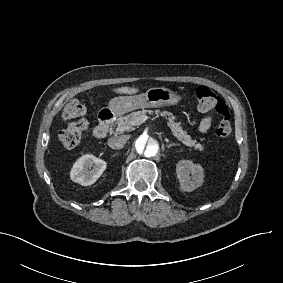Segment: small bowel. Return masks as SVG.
Here are the masks:
<instances>
[{"instance_id": "small-bowel-1", "label": "small bowel", "mask_w": 283, "mask_h": 283, "mask_svg": "<svg viewBox=\"0 0 283 283\" xmlns=\"http://www.w3.org/2000/svg\"><path fill=\"white\" fill-rule=\"evenodd\" d=\"M210 126H211V118L204 117L199 123L198 130L201 133H205L209 130Z\"/></svg>"}]
</instances>
